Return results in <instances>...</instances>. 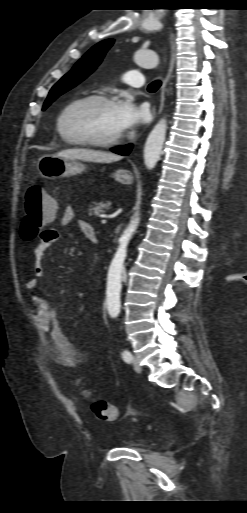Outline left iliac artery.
I'll use <instances>...</instances> for the list:
<instances>
[{
    "label": "left iliac artery",
    "instance_id": "left-iliac-artery-1",
    "mask_svg": "<svg viewBox=\"0 0 247 513\" xmlns=\"http://www.w3.org/2000/svg\"><path fill=\"white\" fill-rule=\"evenodd\" d=\"M122 358H123V360H124L125 362H127V363H131V361H132V359H133V358H132V354H131L128 350H124V351L122 352Z\"/></svg>",
    "mask_w": 247,
    "mask_h": 513
}]
</instances>
